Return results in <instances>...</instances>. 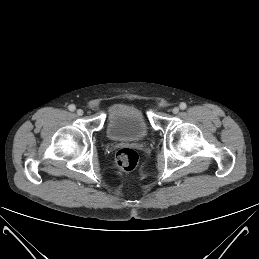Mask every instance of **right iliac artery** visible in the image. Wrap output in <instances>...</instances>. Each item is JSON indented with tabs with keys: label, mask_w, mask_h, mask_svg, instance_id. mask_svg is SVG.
Returning a JSON list of instances; mask_svg holds the SVG:
<instances>
[{
	"label": "right iliac artery",
	"mask_w": 259,
	"mask_h": 259,
	"mask_svg": "<svg viewBox=\"0 0 259 259\" xmlns=\"http://www.w3.org/2000/svg\"><path fill=\"white\" fill-rule=\"evenodd\" d=\"M68 109L70 111H74L76 109V107H75V105L71 104V105H69Z\"/></svg>",
	"instance_id": "1"
}]
</instances>
